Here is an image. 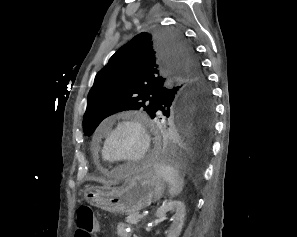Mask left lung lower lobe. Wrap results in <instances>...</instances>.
Listing matches in <instances>:
<instances>
[{
  "label": "left lung lower lobe",
  "instance_id": "1",
  "mask_svg": "<svg viewBox=\"0 0 297 237\" xmlns=\"http://www.w3.org/2000/svg\"><path fill=\"white\" fill-rule=\"evenodd\" d=\"M170 118L156 144L154 156L177 166L197 167L206 159L213 133L214 106L212 100L192 104L171 102Z\"/></svg>",
  "mask_w": 297,
  "mask_h": 237
}]
</instances>
